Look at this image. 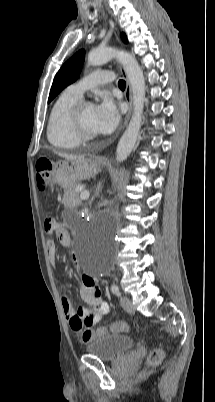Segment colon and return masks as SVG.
Masks as SVG:
<instances>
[{"label": "colon", "instance_id": "obj_1", "mask_svg": "<svg viewBox=\"0 0 215 402\" xmlns=\"http://www.w3.org/2000/svg\"><path fill=\"white\" fill-rule=\"evenodd\" d=\"M54 164L53 156H40L36 162V183L40 192L48 193L54 187V178L52 173V165ZM55 220L53 218H46L44 220V228L46 230L52 229ZM128 330L126 323L119 321L111 324L109 327H100L96 330L87 329L81 333L83 342L88 343L96 337L106 335L108 333H122ZM163 351L161 349H154L148 356V363L150 365L158 364L163 358Z\"/></svg>", "mask_w": 215, "mask_h": 402}]
</instances>
